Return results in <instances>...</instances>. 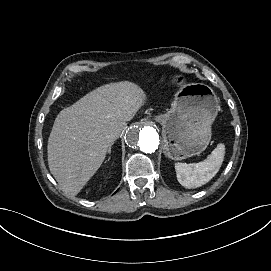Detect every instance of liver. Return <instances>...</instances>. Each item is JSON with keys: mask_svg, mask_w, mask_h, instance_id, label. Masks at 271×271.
Segmentation results:
<instances>
[{"mask_svg": "<svg viewBox=\"0 0 271 271\" xmlns=\"http://www.w3.org/2000/svg\"><path fill=\"white\" fill-rule=\"evenodd\" d=\"M146 94L130 82L103 86L63 109L48 139L49 169L61 188L76 196L103 164L112 144L147 103Z\"/></svg>", "mask_w": 271, "mask_h": 271, "instance_id": "liver-1", "label": "liver"}]
</instances>
